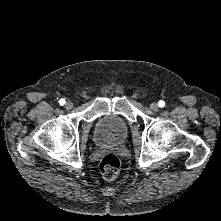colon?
<instances>
[{"mask_svg":"<svg viewBox=\"0 0 221 221\" xmlns=\"http://www.w3.org/2000/svg\"><path fill=\"white\" fill-rule=\"evenodd\" d=\"M120 170V161L116 155L107 154L100 162V171L106 180H114Z\"/></svg>","mask_w":221,"mask_h":221,"instance_id":"obj_1","label":"colon"}]
</instances>
